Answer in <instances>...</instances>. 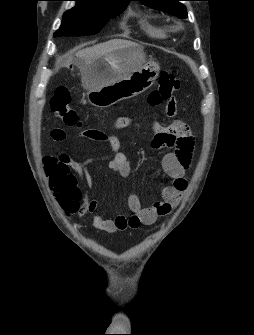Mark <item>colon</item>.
<instances>
[{
    "mask_svg": "<svg viewBox=\"0 0 254 335\" xmlns=\"http://www.w3.org/2000/svg\"><path fill=\"white\" fill-rule=\"evenodd\" d=\"M180 88V80L175 70H165L159 78V85L153 89L147 99L151 106H159L162 103L166 105L169 94H174ZM50 109L52 113L68 127H77L80 125L77 112L71 106V95L66 87H58L50 99ZM172 116V115H169ZM167 143H171L172 139L167 138ZM46 169L49 172V180L53 189L57 188V194L63 198L71 194L77 201L81 198L78 188H72L68 182L62 178V169H56L63 166L56 157L47 158L45 161ZM54 169L52 170V168ZM52 170V171H51Z\"/></svg>",
    "mask_w": 254,
    "mask_h": 335,
    "instance_id": "1",
    "label": "colon"
}]
</instances>
